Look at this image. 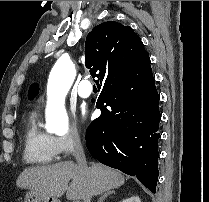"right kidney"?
I'll return each mask as SVG.
<instances>
[{
	"instance_id": "obj_1",
	"label": "right kidney",
	"mask_w": 209,
	"mask_h": 202,
	"mask_svg": "<svg viewBox=\"0 0 209 202\" xmlns=\"http://www.w3.org/2000/svg\"><path fill=\"white\" fill-rule=\"evenodd\" d=\"M122 202H141V200L138 196H132L130 198L123 200Z\"/></svg>"
}]
</instances>
